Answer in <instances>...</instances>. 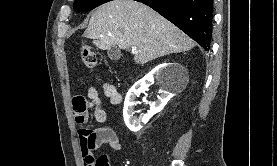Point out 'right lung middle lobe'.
I'll return each mask as SVG.
<instances>
[{
    "instance_id": "obj_1",
    "label": "right lung middle lobe",
    "mask_w": 277,
    "mask_h": 166,
    "mask_svg": "<svg viewBox=\"0 0 277 166\" xmlns=\"http://www.w3.org/2000/svg\"><path fill=\"white\" fill-rule=\"evenodd\" d=\"M111 0H75L73 7L76 12L90 11Z\"/></svg>"
}]
</instances>
